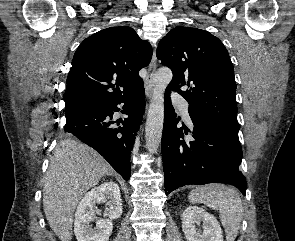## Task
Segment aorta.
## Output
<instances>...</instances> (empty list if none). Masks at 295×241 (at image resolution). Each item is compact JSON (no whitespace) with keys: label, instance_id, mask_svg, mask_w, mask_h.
<instances>
[{"label":"aorta","instance_id":"obj_1","mask_svg":"<svg viewBox=\"0 0 295 241\" xmlns=\"http://www.w3.org/2000/svg\"><path fill=\"white\" fill-rule=\"evenodd\" d=\"M172 71L167 67H161L153 77V94L149 105L145 139L149 153H156L162 138L164 123V91L172 80Z\"/></svg>","mask_w":295,"mask_h":241}]
</instances>
